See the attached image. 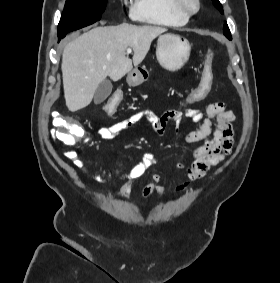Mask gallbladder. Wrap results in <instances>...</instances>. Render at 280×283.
I'll list each match as a JSON object with an SVG mask.
<instances>
[{"mask_svg": "<svg viewBox=\"0 0 280 283\" xmlns=\"http://www.w3.org/2000/svg\"><path fill=\"white\" fill-rule=\"evenodd\" d=\"M112 92V83L110 80H104L95 91L94 103H102Z\"/></svg>", "mask_w": 280, "mask_h": 283, "instance_id": "1", "label": "gallbladder"}]
</instances>
